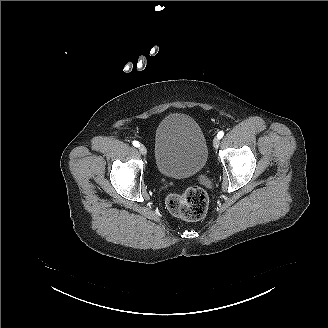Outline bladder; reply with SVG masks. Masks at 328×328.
Returning <instances> with one entry per match:
<instances>
[{"label": "bladder", "mask_w": 328, "mask_h": 328, "mask_svg": "<svg viewBox=\"0 0 328 328\" xmlns=\"http://www.w3.org/2000/svg\"><path fill=\"white\" fill-rule=\"evenodd\" d=\"M154 141L155 163L160 174L184 176L205 167V140L192 117L169 115L158 126Z\"/></svg>", "instance_id": "obj_1"}]
</instances>
